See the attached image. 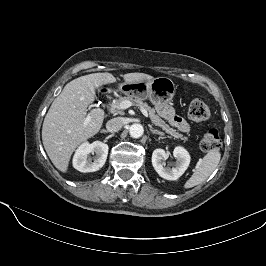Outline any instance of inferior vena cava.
<instances>
[{"instance_id": "602c4592", "label": "inferior vena cava", "mask_w": 266, "mask_h": 266, "mask_svg": "<svg viewBox=\"0 0 266 266\" xmlns=\"http://www.w3.org/2000/svg\"><path fill=\"white\" fill-rule=\"evenodd\" d=\"M124 125H125L124 118L123 117H116V118L110 119L106 123V129L108 132H117Z\"/></svg>"}]
</instances>
